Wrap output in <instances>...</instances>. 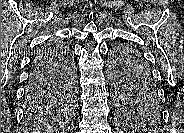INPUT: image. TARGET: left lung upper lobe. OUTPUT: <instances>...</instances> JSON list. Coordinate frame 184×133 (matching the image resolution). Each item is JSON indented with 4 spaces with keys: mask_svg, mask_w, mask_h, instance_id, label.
<instances>
[{
    "mask_svg": "<svg viewBox=\"0 0 184 133\" xmlns=\"http://www.w3.org/2000/svg\"><path fill=\"white\" fill-rule=\"evenodd\" d=\"M118 110L124 118L138 124H155L161 119V106L150 67L133 47L115 49L110 62ZM144 81L155 89L151 94H140L134 84Z\"/></svg>",
    "mask_w": 184,
    "mask_h": 133,
    "instance_id": "5c2ea615",
    "label": "left lung upper lobe"
}]
</instances>
